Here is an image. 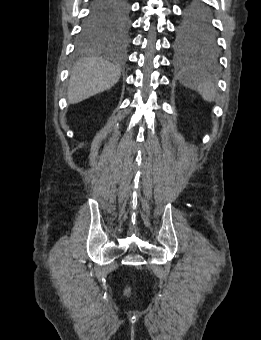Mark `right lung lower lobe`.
I'll return each instance as SVG.
<instances>
[{
  "label": "right lung lower lobe",
  "instance_id": "1",
  "mask_svg": "<svg viewBox=\"0 0 261 340\" xmlns=\"http://www.w3.org/2000/svg\"><path fill=\"white\" fill-rule=\"evenodd\" d=\"M127 8L128 0H93L90 14L114 16Z\"/></svg>",
  "mask_w": 261,
  "mask_h": 340
}]
</instances>
